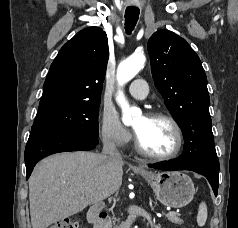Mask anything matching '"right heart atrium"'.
<instances>
[{"instance_id": "d8ad5b80", "label": "right heart atrium", "mask_w": 238, "mask_h": 228, "mask_svg": "<svg viewBox=\"0 0 238 228\" xmlns=\"http://www.w3.org/2000/svg\"><path fill=\"white\" fill-rule=\"evenodd\" d=\"M99 134L101 141L113 148L125 147L131 136L121 124L117 113L108 107H105L100 116Z\"/></svg>"}]
</instances>
